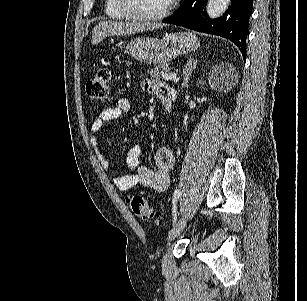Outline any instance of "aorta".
Segmentation results:
<instances>
[{
    "label": "aorta",
    "instance_id": "obj_1",
    "mask_svg": "<svg viewBox=\"0 0 307 301\" xmlns=\"http://www.w3.org/2000/svg\"><path fill=\"white\" fill-rule=\"evenodd\" d=\"M230 0H209L207 4V14L210 18H217L228 8Z\"/></svg>",
    "mask_w": 307,
    "mask_h": 301
}]
</instances>
